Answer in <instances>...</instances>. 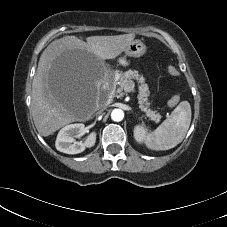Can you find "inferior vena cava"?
Segmentation results:
<instances>
[{"label":"inferior vena cava","mask_w":227,"mask_h":227,"mask_svg":"<svg viewBox=\"0 0 227 227\" xmlns=\"http://www.w3.org/2000/svg\"><path fill=\"white\" fill-rule=\"evenodd\" d=\"M106 106H107V103L97 105L96 106L97 113L100 114L102 111H104L106 109Z\"/></svg>","instance_id":"obj_1"}]
</instances>
